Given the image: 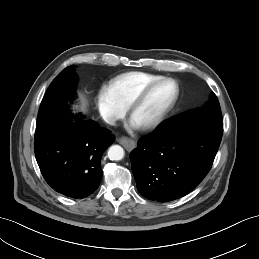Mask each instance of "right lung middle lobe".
Masks as SVG:
<instances>
[{
	"mask_svg": "<svg viewBox=\"0 0 259 259\" xmlns=\"http://www.w3.org/2000/svg\"><path fill=\"white\" fill-rule=\"evenodd\" d=\"M74 71V65L65 68L49 85L39 108L36 131L55 116L78 118L72 115L69 108V103L76 96L77 77Z\"/></svg>",
	"mask_w": 259,
	"mask_h": 259,
	"instance_id": "obj_1",
	"label": "right lung middle lobe"
}]
</instances>
